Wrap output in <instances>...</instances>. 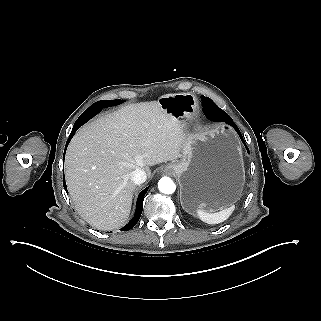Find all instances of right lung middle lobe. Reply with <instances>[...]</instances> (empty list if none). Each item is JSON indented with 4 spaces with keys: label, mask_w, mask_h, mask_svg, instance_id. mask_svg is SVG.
<instances>
[{
    "label": "right lung middle lobe",
    "mask_w": 321,
    "mask_h": 321,
    "mask_svg": "<svg viewBox=\"0 0 321 321\" xmlns=\"http://www.w3.org/2000/svg\"><path fill=\"white\" fill-rule=\"evenodd\" d=\"M117 101L123 102V100H105V101H102L101 103H116Z\"/></svg>",
    "instance_id": "obj_1"
}]
</instances>
